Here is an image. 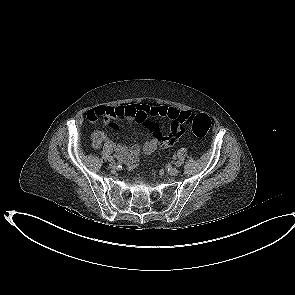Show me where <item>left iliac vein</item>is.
<instances>
[{"label": "left iliac vein", "instance_id": "obj_1", "mask_svg": "<svg viewBox=\"0 0 295 295\" xmlns=\"http://www.w3.org/2000/svg\"><path fill=\"white\" fill-rule=\"evenodd\" d=\"M178 172H179L178 169L175 168V167H171V168L168 169V173H169L170 175H172V176L177 175Z\"/></svg>", "mask_w": 295, "mask_h": 295}]
</instances>
